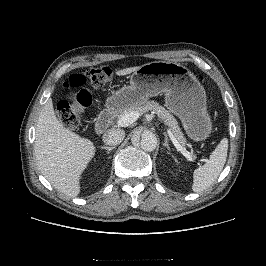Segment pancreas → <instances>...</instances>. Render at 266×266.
Listing matches in <instances>:
<instances>
[{"label":"pancreas","mask_w":266,"mask_h":266,"mask_svg":"<svg viewBox=\"0 0 266 266\" xmlns=\"http://www.w3.org/2000/svg\"><path fill=\"white\" fill-rule=\"evenodd\" d=\"M148 111H152L154 114H156L159 118H161L164 121L165 125L169 127L170 131L173 133V135L180 144L182 145L186 144V138L183 136V133L175 117L171 115L164 107L160 106L157 102L147 101L146 104L142 106L130 107L124 109V111L121 114H117L116 116L120 118L121 115H125L131 112H138L139 114H143Z\"/></svg>","instance_id":"pancreas-1"}]
</instances>
